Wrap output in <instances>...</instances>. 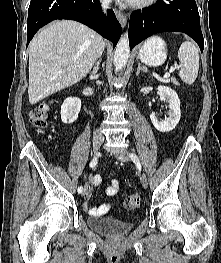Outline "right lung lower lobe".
I'll return each instance as SVG.
<instances>
[{
    "mask_svg": "<svg viewBox=\"0 0 221 263\" xmlns=\"http://www.w3.org/2000/svg\"><path fill=\"white\" fill-rule=\"evenodd\" d=\"M55 19L81 22L113 42V48L121 36V26L113 10H107V16H104L99 0H31L27 20V45L42 26Z\"/></svg>",
    "mask_w": 221,
    "mask_h": 263,
    "instance_id": "1",
    "label": "right lung lower lobe"
}]
</instances>
